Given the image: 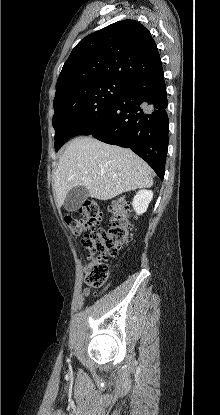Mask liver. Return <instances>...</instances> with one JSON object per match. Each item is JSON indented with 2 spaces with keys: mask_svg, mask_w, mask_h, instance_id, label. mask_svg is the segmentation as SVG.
I'll use <instances>...</instances> for the list:
<instances>
[{
  "mask_svg": "<svg viewBox=\"0 0 220 415\" xmlns=\"http://www.w3.org/2000/svg\"><path fill=\"white\" fill-rule=\"evenodd\" d=\"M153 185L152 169L129 149L103 143L93 137L71 141L54 173L57 206L68 192L84 186L89 196L109 200L124 192Z\"/></svg>",
  "mask_w": 220,
  "mask_h": 415,
  "instance_id": "1",
  "label": "liver"
}]
</instances>
